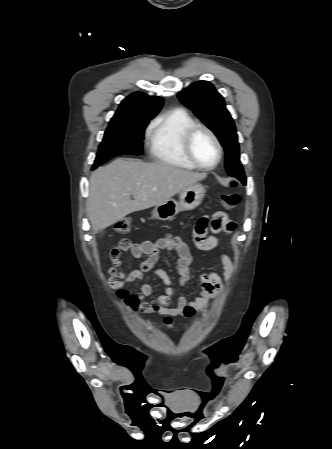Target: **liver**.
<instances>
[{"mask_svg": "<svg viewBox=\"0 0 332 449\" xmlns=\"http://www.w3.org/2000/svg\"><path fill=\"white\" fill-rule=\"evenodd\" d=\"M206 176L166 163L116 159L90 177L86 212L92 228L97 232L132 212L160 205Z\"/></svg>", "mask_w": 332, "mask_h": 449, "instance_id": "6515ba94", "label": "liver"}]
</instances>
